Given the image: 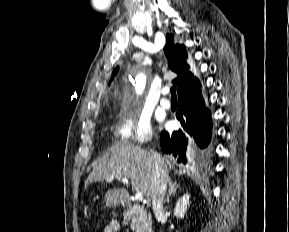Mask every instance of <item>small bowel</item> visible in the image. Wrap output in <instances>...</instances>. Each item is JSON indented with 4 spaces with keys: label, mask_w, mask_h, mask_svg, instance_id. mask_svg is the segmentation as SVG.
Returning <instances> with one entry per match:
<instances>
[{
    "label": "small bowel",
    "mask_w": 289,
    "mask_h": 232,
    "mask_svg": "<svg viewBox=\"0 0 289 232\" xmlns=\"http://www.w3.org/2000/svg\"><path fill=\"white\" fill-rule=\"evenodd\" d=\"M120 230V224L117 221H111L108 223L103 232H118Z\"/></svg>",
    "instance_id": "obj_1"
}]
</instances>
